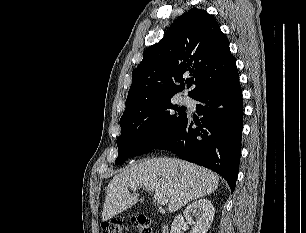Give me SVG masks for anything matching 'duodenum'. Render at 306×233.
<instances>
[{
	"label": "duodenum",
	"instance_id": "1",
	"mask_svg": "<svg viewBox=\"0 0 306 233\" xmlns=\"http://www.w3.org/2000/svg\"><path fill=\"white\" fill-rule=\"evenodd\" d=\"M161 230L162 233H168V226L164 222H161Z\"/></svg>",
	"mask_w": 306,
	"mask_h": 233
}]
</instances>
